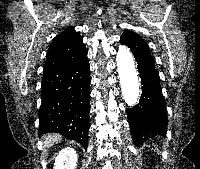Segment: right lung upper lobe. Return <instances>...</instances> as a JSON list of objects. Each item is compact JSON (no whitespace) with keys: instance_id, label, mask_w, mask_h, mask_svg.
Here are the masks:
<instances>
[{"instance_id":"obj_1","label":"right lung upper lobe","mask_w":200,"mask_h":169,"mask_svg":"<svg viewBox=\"0 0 200 169\" xmlns=\"http://www.w3.org/2000/svg\"><path fill=\"white\" fill-rule=\"evenodd\" d=\"M86 51L82 37L74 27L65 29L52 41L46 57L44 71L72 63Z\"/></svg>"}]
</instances>
